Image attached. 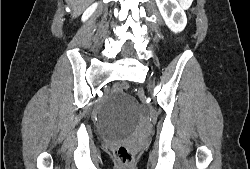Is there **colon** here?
<instances>
[{
  "instance_id": "colon-1",
  "label": "colon",
  "mask_w": 250,
  "mask_h": 169,
  "mask_svg": "<svg viewBox=\"0 0 250 169\" xmlns=\"http://www.w3.org/2000/svg\"><path fill=\"white\" fill-rule=\"evenodd\" d=\"M187 42L186 40L184 41ZM121 90H128V85H121ZM130 145H120V142H117V145H113V150H115V160H117V165L119 169H135V150H130Z\"/></svg>"
}]
</instances>
